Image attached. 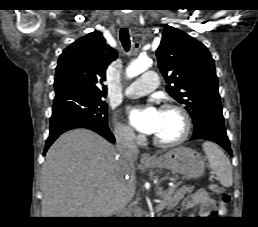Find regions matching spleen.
<instances>
[{
	"label": "spleen",
	"mask_w": 258,
	"mask_h": 227,
	"mask_svg": "<svg viewBox=\"0 0 258 227\" xmlns=\"http://www.w3.org/2000/svg\"><path fill=\"white\" fill-rule=\"evenodd\" d=\"M202 147L210 167L215 172L221 185L224 187H231L233 184V175L230 160L222 150L212 142H204Z\"/></svg>",
	"instance_id": "3e777b00"
}]
</instances>
